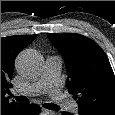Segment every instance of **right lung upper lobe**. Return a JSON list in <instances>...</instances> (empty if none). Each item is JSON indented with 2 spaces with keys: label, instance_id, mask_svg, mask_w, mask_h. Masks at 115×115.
Instances as JSON below:
<instances>
[{
  "label": "right lung upper lobe",
  "instance_id": "obj_1",
  "mask_svg": "<svg viewBox=\"0 0 115 115\" xmlns=\"http://www.w3.org/2000/svg\"><path fill=\"white\" fill-rule=\"evenodd\" d=\"M35 37L36 35H18L1 38V115L22 105L14 101L10 102L9 97L5 95L10 93L9 88L12 87L9 82L12 79L16 56Z\"/></svg>",
  "mask_w": 115,
  "mask_h": 115
}]
</instances>
